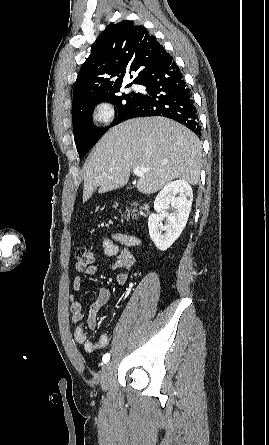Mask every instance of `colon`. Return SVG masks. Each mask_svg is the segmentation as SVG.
I'll use <instances>...</instances> for the list:
<instances>
[{
  "mask_svg": "<svg viewBox=\"0 0 269 445\" xmlns=\"http://www.w3.org/2000/svg\"><path fill=\"white\" fill-rule=\"evenodd\" d=\"M128 217V216H126ZM94 253L86 247H79L75 251V268L77 271H84L94 262Z\"/></svg>",
  "mask_w": 269,
  "mask_h": 445,
  "instance_id": "5ec220e1",
  "label": "colon"
}]
</instances>
